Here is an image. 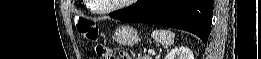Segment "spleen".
<instances>
[{
    "mask_svg": "<svg viewBox=\"0 0 261 59\" xmlns=\"http://www.w3.org/2000/svg\"><path fill=\"white\" fill-rule=\"evenodd\" d=\"M152 37L156 42L165 46H170L174 42L175 34L170 30H154Z\"/></svg>",
    "mask_w": 261,
    "mask_h": 59,
    "instance_id": "spleen-1",
    "label": "spleen"
}]
</instances>
